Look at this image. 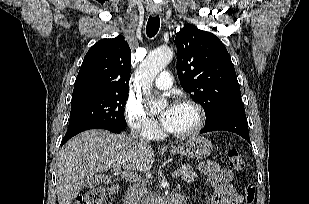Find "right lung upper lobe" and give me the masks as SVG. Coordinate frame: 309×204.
<instances>
[{"mask_svg":"<svg viewBox=\"0 0 309 204\" xmlns=\"http://www.w3.org/2000/svg\"><path fill=\"white\" fill-rule=\"evenodd\" d=\"M131 50L122 35L102 39L84 57L71 103L107 95L128 93Z\"/></svg>","mask_w":309,"mask_h":204,"instance_id":"obj_1","label":"right lung upper lobe"}]
</instances>
